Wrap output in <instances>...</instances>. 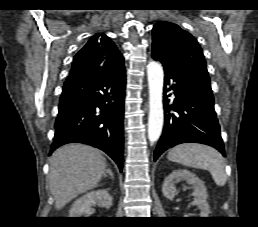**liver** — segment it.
Instances as JSON below:
<instances>
[{
  "instance_id": "liver-1",
  "label": "liver",
  "mask_w": 258,
  "mask_h": 227,
  "mask_svg": "<svg viewBox=\"0 0 258 227\" xmlns=\"http://www.w3.org/2000/svg\"><path fill=\"white\" fill-rule=\"evenodd\" d=\"M101 152L83 144H67L50 158L49 185L57 210L81 193L95 188L106 173Z\"/></svg>"
}]
</instances>
